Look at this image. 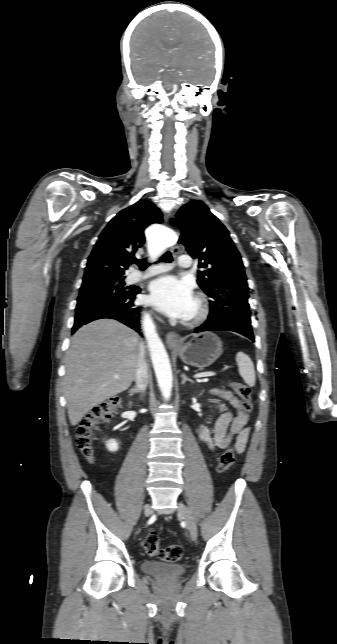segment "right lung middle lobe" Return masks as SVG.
Returning a JSON list of instances; mask_svg holds the SVG:
<instances>
[{
	"instance_id": "right-lung-middle-lobe-1",
	"label": "right lung middle lobe",
	"mask_w": 337,
	"mask_h": 644,
	"mask_svg": "<svg viewBox=\"0 0 337 644\" xmlns=\"http://www.w3.org/2000/svg\"><path fill=\"white\" fill-rule=\"evenodd\" d=\"M124 278H95L83 281L75 310L111 304L128 298L134 293V289L124 287Z\"/></svg>"
}]
</instances>
